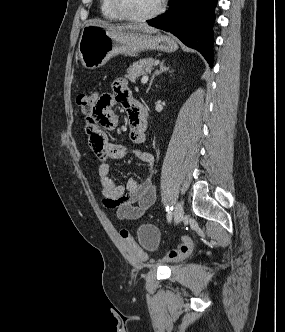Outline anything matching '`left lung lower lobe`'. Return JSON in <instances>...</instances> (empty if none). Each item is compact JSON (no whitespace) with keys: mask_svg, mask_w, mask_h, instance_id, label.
I'll list each match as a JSON object with an SVG mask.
<instances>
[{"mask_svg":"<svg viewBox=\"0 0 285 332\" xmlns=\"http://www.w3.org/2000/svg\"><path fill=\"white\" fill-rule=\"evenodd\" d=\"M216 4L217 0H171L166 13L147 23L171 32L185 45L198 50L212 67Z\"/></svg>","mask_w":285,"mask_h":332,"instance_id":"left-lung-lower-lobe-1","label":"left lung lower lobe"}]
</instances>
